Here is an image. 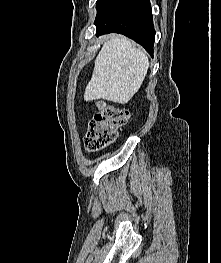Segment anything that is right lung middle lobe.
Wrapping results in <instances>:
<instances>
[{
    "mask_svg": "<svg viewBox=\"0 0 221 263\" xmlns=\"http://www.w3.org/2000/svg\"><path fill=\"white\" fill-rule=\"evenodd\" d=\"M113 0H97L96 8L97 15L102 12Z\"/></svg>",
    "mask_w": 221,
    "mask_h": 263,
    "instance_id": "1",
    "label": "right lung middle lobe"
}]
</instances>
